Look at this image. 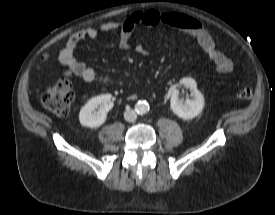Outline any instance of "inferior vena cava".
I'll use <instances>...</instances> for the list:
<instances>
[{"instance_id":"602c4592","label":"inferior vena cava","mask_w":275,"mask_h":215,"mask_svg":"<svg viewBox=\"0 0 275 215\" xmlns=\"http://www.w3.org/2000/svg\"><path fill=\"white\" fill-rule=\"evenodd\" d=\"M124 119L128 122H134L137 119V113L134 110H126L124 112Z\"/></svg>"}]
</instances>
